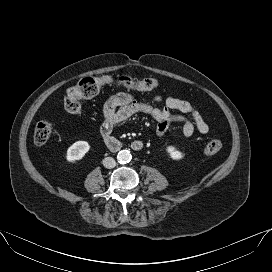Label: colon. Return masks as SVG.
I'll list each match as a JSON object with an SVG mask.
<instances>
[{
  "label": "colon",
  "mask_w": 272,
  "mask_h": 272,
  "mask_svg": "<svg viewBox=\"0 0 272 272\" xmlns=\"http://www.w3.org/2000/svg\"><path fill=\"white\" fill-rule=\"evenodd\" d=\"M116 84L128 91H147L159 86L156 79L147 78L135 80L128 76L112 77L110 75L92 76L81 79L76 85L69 88L64 97V108L69 113H80V99L96 96L104 85ZM52 133V125L48 121L39 122L34 130L35 144L44 145L48 142ZM222 148V142L218 139L209 141L205 147L206 154H215Z\"/></svg>",
  "instance_id": "obj_1"
}]
</instances>
